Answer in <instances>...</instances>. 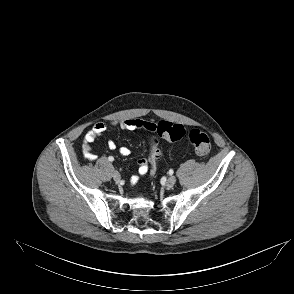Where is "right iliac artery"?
Instances as JSON below:
<instances>
[{"instance_id":"right-iliac-artery-1","label":"right iliac artery","mask_w":294,"mask_h":294,"mask_svg":"<svg viewBox=\"0 0 294 294\" xmlns=\"http://www.w3.org/2000/svg\"><path fill=\"white\" fill-rule=\"evenodd\" d=\"M108 160L112 162V161L114 160V158H113L112 156H110V157L108 158Z\"/></svg>"}]
</instances>
